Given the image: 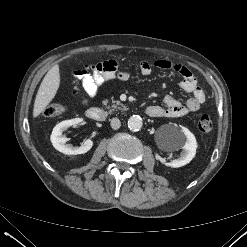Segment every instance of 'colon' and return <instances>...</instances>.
Here are the masks:
<instances>
[{
  "mask_svg": "<svg viewBox=\"0 0 247 247\" xmlns=\"http://www.w3.org/2000/svg\"><path fill=\"white\" fill-rule=\"evenodd\" d=\"M65 111V107L58 103H52L46 106L43 114L46 117H55L61 115ZM213 128V122L207 114L201 115L197 120V129L201 133H208Z\"/></svg>",
  "mask_w": 247,
  "mask_h": 247,
  "instance_id": "colon-1",
  "label": "colon"
}]
</instances>
